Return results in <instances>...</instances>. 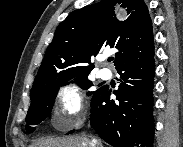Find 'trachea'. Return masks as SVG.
Here are the masks:
<instances>
[{"label": "trachea", "instance_id": "obj_1", "mask_svg": "<svg viewBox=\"0 0 183 147\" xmlns=\"http://www.w3.org/2000/svg\"><path fill=\"white\" fill-rule=\"evenodd\" d=\"M112 60H114L113 57H109V58H108V61H112Z\"/></svg>", "mask_w": 183, "mask_h": 147}]
</instances>
